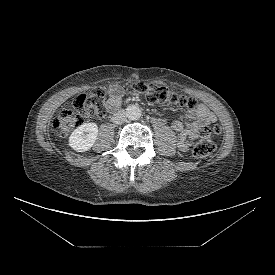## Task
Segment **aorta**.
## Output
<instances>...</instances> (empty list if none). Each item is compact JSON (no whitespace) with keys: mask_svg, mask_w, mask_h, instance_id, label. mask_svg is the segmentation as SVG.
<instances>
[{"mask_svg":"<svg viewBox=\"0 0 275 275\" xmlns=\"http://www.w3.org/2000/svg\"><path fill=\"white\" fill-rule=\"evenodd\" d=\"M126 116L130 120H138L141 117V109L137 105H129L126 108Z\"/></svg>","mask_w":275,"mask_h":275,"instance_id":"762f6f07","label":"aorta"}]
</instances>
